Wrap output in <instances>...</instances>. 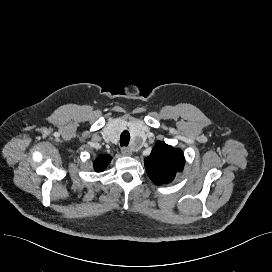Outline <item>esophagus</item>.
Returning a JSON list of instances; mask_svg holds the SVG:
<instances>
[{"mask_svg":"<svg viewBox=\"0 0 272 272\" xmlns=\"http://www.w3.org/2000/svg\"><path fill=\"white\" fill-rule=\"evenodd\" d=\"M121 152H122V154L125 155V156H130V155H132V151H131L128 147H123V148L121 149Z\"/></svg>","mask_w":272,"mask_h":272,"instance_id":"1","label":"esophagus"}]
</instances>
